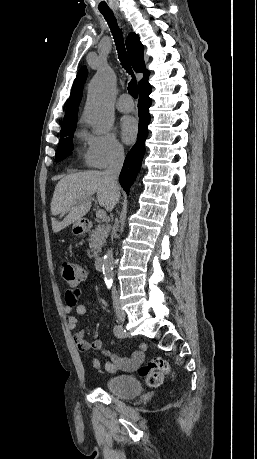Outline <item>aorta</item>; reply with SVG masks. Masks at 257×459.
<instances>
[{
    "label": "aorta",
    "mask_w": 257,
    "mask_h": 459,
    "mask_svg": "<svg viewBox=\"0 0 257 459\" xmlns=\"http://www.w3.org/2000/svg\"><path fill=\"white\" fill-rule=\"evenodd\" d=\"M116 91V76L114 71L104 66L99 69L92 79L86 105L88 123L96 134L107 132L114 122L112 101ZM113 249H108L103 258L102 273L108 289L113 283Z\"/></svg>",
    "instance_id": "762f6f07"
}]
</instances>
